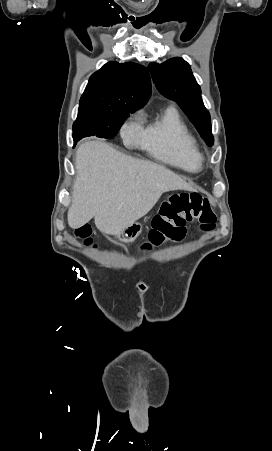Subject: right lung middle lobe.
Wrapping results in <instances>:
<instances>
[{"label": "right lung middle lobe", "mask_w": 272, "mask_h": 451, "mask_svg": "<svg viewBox=\"0 0 272 451\" xmlns=\"http://www.w3.org/2000/svg\"><path fill=\"white\" fill-rule=\"evenodd\" d=\"M136 108L79 106L78 117L73 124L74 145L83 137L113 138L124 119Z\"/></svg>", "instance_id": "1"}]
</instances>
